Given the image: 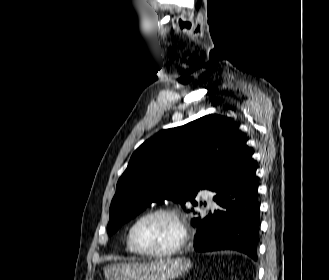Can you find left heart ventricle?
<instances>
[{
  "label": "left heart ventricle",
  "instance_id": "1",
  "mask_svg": "<svg viewBox=\"0 0 329 280\" xmlns=\"http://www.w3.org/2000/svg\"><path fill=\"white\" fill-rule=\"evenodd\" d=\"M178 229L167 216L157 215L143 220L135 230L137 245L145 250L162 251L175 245Z\"/></svg>",
  "mask_w": 329,
  "mask_h": 280
}]
</instances>
